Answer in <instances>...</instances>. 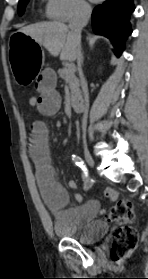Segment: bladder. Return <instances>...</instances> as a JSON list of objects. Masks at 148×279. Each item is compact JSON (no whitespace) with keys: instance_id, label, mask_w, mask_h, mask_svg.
<instances>
[{"instance_id":"obj_1","label":"bladder","mask_w":148,"mask_h":279,"mask_svg":"<svg viewBox=\"0 0 148 279\" xmlns=\"http://www.w3.org/2000/svg\"><path fill=\"white\" fill-rule=\"evenodd\" d=\"M55 232L62 238L81 244H92L101 240L108 232V225L102 220L90 221L84 225H70L59 215L54 222Z\"/></svg>"}]
</instances>
